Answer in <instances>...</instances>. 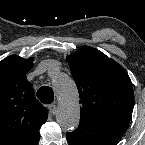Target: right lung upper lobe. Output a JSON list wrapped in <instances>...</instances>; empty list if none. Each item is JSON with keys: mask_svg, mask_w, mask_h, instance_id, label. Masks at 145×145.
<instances>
[{"mask_svg": "<svg viewBox=\"0 0 145 145\" xmlns=\"http://www.w3.org/2000/svg\"><path fill=\"white\" fill-rule=\"evenodd\" d=\"M32 67V58L17 55L0 61V145H28L47 120L48 111L26 78Z\"/></svg>", "mask_w": 145, "mask_h": 145, "instance_id": "cb5924a9", "label": "right lung upper lobe"}]
</instances>
